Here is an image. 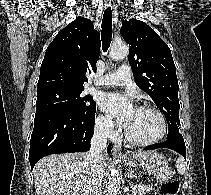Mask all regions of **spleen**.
I'll return each mask as SVG.
<instances>
[{"label": "spleen", "instance_id": "3e777b00", "mask_svg": "<svg viewBox=\"0 0 211 195\" xmlns=\"http://www.w3.org/2000/svg\"><path fill=\"white\" fill-rule=\"evenodd\" d=\"M177 171L179 174H184L186 172L185 161L182 157L177 159Z\"/></svg>", "mask_w": 211, "mask_h": 195}]
</instances>
